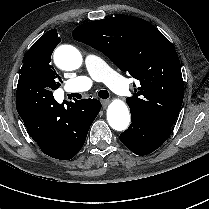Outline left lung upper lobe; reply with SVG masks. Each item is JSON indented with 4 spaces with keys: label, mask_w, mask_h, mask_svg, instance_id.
Listing matches in <instances>:
<instances>
[{
    "label": "left lung upper lobe",
    "mask_w": 209,
    "mask_h": 209,
    "mask_svg": "<svg viewBox=\"0 0 209 209\" xmlns=\"http://www.w3.org/2000/svg\"><path fill=\"white\" fill-rule=\"evenodd\" d=\"M72 35L140 82L133 96L126 98L131 111L173 126L184 96L181 66L174 47L155 26L120 15L84 23Z\"/></svg>",
    "instance_id": "obj_1"
}]
</instances>
